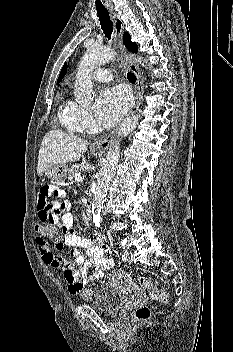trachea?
I'll use <instances>...</instances> for the list:
<instances>
[{
    "instance_id": "3493384b",
    "label": "trachea",
    "mask_w": 233,
    "mask_h": 352,
    "mask_svg": "<svg viewBox=\"0 0 233 352\" xmlns=\"http://www.w3.org/2000/svg\"><path fill=\"white\" fill-rule=\"evenodd\" d=\"M98 16H99V21L101 24V28L105 34V36L110 39L111 34L113 32V23L110 19L109 12L106 8H101V7H96ZM127 78L129 82L135 83L136 82V76L135 74L128 72L127 73Z\"/></svg>"
}]
</instances>
